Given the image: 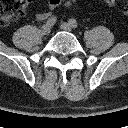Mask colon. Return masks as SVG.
Masks as SVG:
<instances>
[{
    "label": "colon",
    "mask_w": 128,
    "mask_h": 128,
    "mask_svg": "<svg viewBox=\"0 0 128 128\" xmlns=\"http://www.w3.org/2000/svg\"><path fill=\"white\" fill-rule=\"evenodd\" d=\"M103 1L109 6L116 3V0ZM26 4L27 0H0V25H5L20 17L25 11ZM123 11L128 16V4Z\"/></svg>",
    "instance_id": "colon-1"
}]
</instances>
